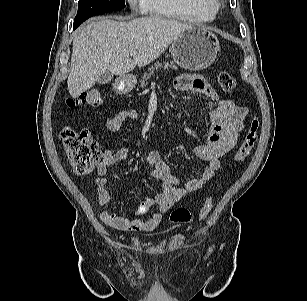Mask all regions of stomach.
<instances>
[{"label": "stomach", "instance_id": "1", "mask_svg": "<svg viewBox=\"0 0 307 301\" xmlns=\"http://www.w3.org/2000/svg\"><path fill=\"white\" fill-rule=\"evenodd\" d=\"M173 60L182 68L199 71L209 67L220 51L219 41L213 33L200 27L183 31L170 47ZM136 79L123 76L116 80L114 90L117 93L130 91Z\"/></svg>", "mask_w": 307, "mask_h": 301}]
</instances>
